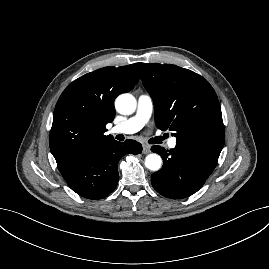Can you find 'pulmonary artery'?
Instances as JSON below:
<instances>
[{
  "mask_svg": "<svg viewBox=\"0 0 269 269\" xmlns=\"http://www.w3.org/2000/svg\"><path fill=\"white\" fill-rule=\"evenodd\" d=\"M153 112V100L149 94H141L137 99V110L134 116L111 129V133L133 134L139 131L149 121ZM168 147L175 148L177 140L172 137L168 140Z\"/></svg>",
  "mask_w": 269,
  "mask_h": 269,
  "instance_id": "obj_1",
  "label": "pulmonary artery"
}]
</instances>
